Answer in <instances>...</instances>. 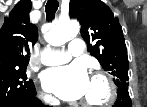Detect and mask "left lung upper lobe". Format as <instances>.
<instances>
[{
  "label": "left lung upper lobe",
  "instance_id": "left-lung-upper-lobe-1",
  "mask_svg": "<svg viewBox=\"0 0 147 107\" xmlns=\"http://www.w3.org/2000/svg\"><path fill=\"white\" fill-rule=\"evenodd\" d=\"M70 17L81 24V36L90 54L114 76L117 87L128 85V56L122 27L101 0H70Z\"/></svg>",
  "mask_w": 147,
  "mask_h": 107
}]
</instances>
